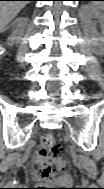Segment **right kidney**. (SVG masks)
I'll use <instances>...</instances> for the list:
<instances>
[{"instance_id":"1","label":"right kidney","mask_w":104,"mask_h":189,"mask_svg":"<svg viewBox=\"0 0 104 189\" xmlns=\"http://www.w3.org/2000/svg\"><path fill=\"white\" fill-rule=\"evenodd\" d=\"M26 19H18V24L16 25L15 30L12 32L11 36L8 38L9 42L7 45L12 46L15 42H18L20 40V36L23 31L24 22Z\"/></svg>"}]
</instances>
